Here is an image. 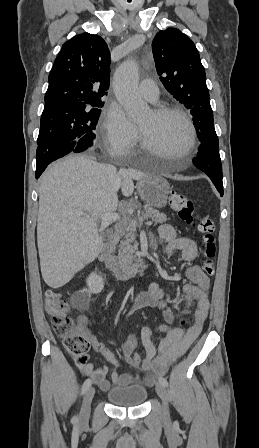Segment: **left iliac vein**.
<instances>
[{"label":"left iliac vein","instance_id":"4c4485c4","mask_svg":"<svg viewBox=\"0 0 259 448\" xmlns=\"http://www.w3.org/2000/svg\"><path fill=\"white\" fill-rule=\"evenodd\" d=\"M156 392L158 394V396L161 398L162 403H163V410H164V416L165 419L168 420L169 418V411H168V395H167V391L165 389V386H163L162 384L158 383L156 385Z\"/></svg>","mask_w":259,"mask_h":448}]
</instances>
